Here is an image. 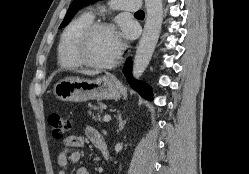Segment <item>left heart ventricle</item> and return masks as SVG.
<instances>
[{"label": "left heart ventricle", "instance_id": "b2bd125f", "mask_svg": "<svg viewBox=\"0 0 249 174\" xmlns=\"http://www.w3.org/2000/svg\"><path fill=\"white\" fill-rule=\"evenodd\" d=\"M119 36L116 32L102 30L89 40L86 55L95 63H105L113 58L118 48Z\"/></svg>", "mask_w": 249, "mask_h": 174}]
</instances>
